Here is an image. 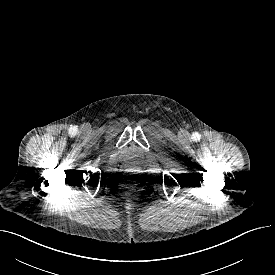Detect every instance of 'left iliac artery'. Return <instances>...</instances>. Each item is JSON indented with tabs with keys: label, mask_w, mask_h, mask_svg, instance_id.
I'll return each instance as SVG.
<instances>
[{
	"label": "left iliac artery",
	"mask_w": 275,
	"mask_h": 275,
	"mask_svg": "<svg viewBox=\"0 0 275 275\" xmlns=\"http://www.w3.org/2000/svg\"><path fill=\"white\" fill-rule=\"evenodd\" d=\"M195 137H198L197 133L194 135V138H195Z\"/></svg>",
	"instance_id": "1"
}]
</instances>
